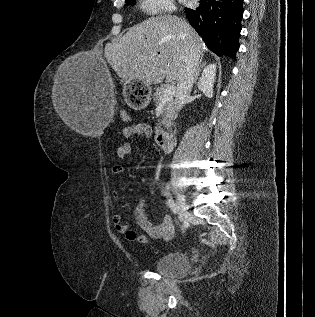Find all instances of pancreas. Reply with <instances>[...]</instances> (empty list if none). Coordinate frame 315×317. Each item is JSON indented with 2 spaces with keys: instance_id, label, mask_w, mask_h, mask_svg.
<instances>
[{
  "instance_id": "pancreas-1",
  "label": "pancreas",
  "mask_w": 315,
  "mask_h": 317,
  "mask_svg": "<svg viewBox=\"0 0 315 317\" xmlns=\"http://www.w3.org/2000/svg\"><path fill=\"white\" fill-rule=\"evenodd\" d=\"M165 89H166V86L158 87L154 93L153 100L157 107L163 104L162 112H161V117H162L161 122L167 125L169 123L170 116H171L172 99L163 100V92Z\"/></svg>"
}]
</instances>
